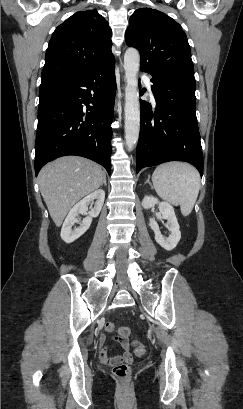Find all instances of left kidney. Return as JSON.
Returning a JSON list of instances; mask_svg holds the SVG:
<instances>
[{
  "label": "left kidney",
  "mask_w": 243,
  "mask_h": 409,
  "mask_svg": "<svg viewBox=\"0 0 243 409\" xmlns=\"http://www.w3.org/2000/svg\"><path fill=\"white\" fill-rule=\"evenodd\" d=\"M156 204H158L162 217L167 220V228L170 231V234L168 237H164L159 230L157 222L153 218L149 219V226L154 231L155 241L165 250L170 251L174 249L180 241V227L174 212V208L169 203L159 202V200L153 196H145L142 200V206L144 209H150Z\"/></svg>",
  "instance_id": "left-kidney-1"
}]
</instances>
